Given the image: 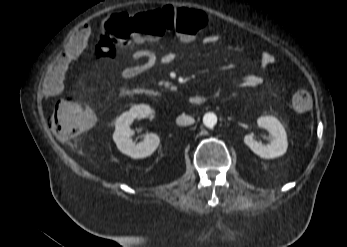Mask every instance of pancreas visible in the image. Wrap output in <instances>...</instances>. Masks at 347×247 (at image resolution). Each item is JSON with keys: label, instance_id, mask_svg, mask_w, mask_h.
Here are the masks:
<instances>
[{"label": "pancreas", "instance_id": "obj_1", "mask_svg": "<svg viewBox=\"0 0 347 247\" xmlns=\"http://www.w3.org/2000/svg\"><path fill=\"white\" fill-rule=\"evenodd\" d=\"M163 84H164V85L166 86V84H165V83H163V82H160V85H163Z\"/></svg>", "mask_w": 347, "mask_h": 247}]
</instances>
